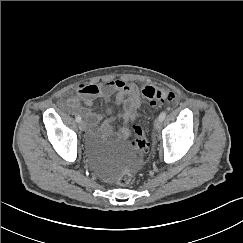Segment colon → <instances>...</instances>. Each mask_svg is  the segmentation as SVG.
I'll return each instance as SVG.
<instances>
[{"instance_id":"colon-1","label":"colon","mask_w":243,"mask_h":243,"mask_svg":"<svg viewBox=\"0 0 243 243\" xmlns=\"http://www.w3.org/2000/svg\"><path fill=\"white\" fill-rule=\"evenodd\" d=\"M141 95L150 105H162L166 106L174 101V94L166 89H162L153 84H146L141 89ZM134 138L130 144L133 150H135L141 156L145 155L149 149V142L145 134V130L142 124H136L133 127ZM132 181V173L129 169H124L120 172L117 178V184L121 187L128 186Z\"/></svg>"}]
</instances>
